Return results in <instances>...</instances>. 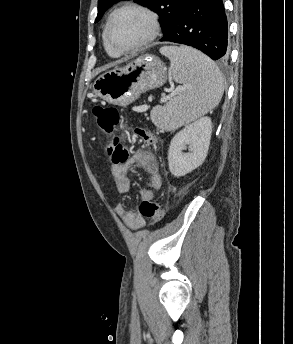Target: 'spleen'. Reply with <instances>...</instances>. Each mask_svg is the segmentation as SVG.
I'll return each mask as SVG.
<instances>
[{"label":"spleen","mask_w":293,"mask_h":344,"mask_svg":"<svg viewBox=\"0 0 293 344\" xmlns=\"http://www.w3.org/2000/svg\"><path fill=\"white\" fill-rule=\"evenodd\" d=\"M160 52L171 61L174 81L184 84L177 96L150 113L160 129L174 131L215 108L224 93V78L206 55L187 46H165Z\"/></svg>","instance_id":"3e777b00"}]
</instances>
